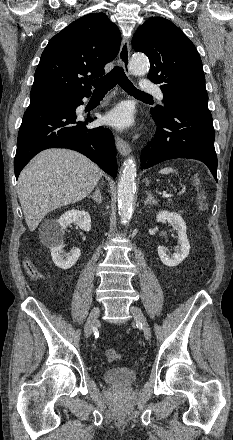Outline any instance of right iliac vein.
Returning <instances> with one entry per match:
<instances>
[{
    "label": "right iliac vein",
    "instance_id": "1",
    "mask_svg": "<svg viewBox=\"0 0 233 440\" xmlns=\"http://www.w3.org/2000/svg\"><path fill=\"white\" fill-rule=\"evenodd\" d=\"M99 315H100V309L98 306H96L91 310L89 317L84 326V334L86 338L90 337V335L92 334L93 326L96 323Z\"/></svg>",
    "mask_w": 233,
    "mask_h": 440
}]
</instances>
